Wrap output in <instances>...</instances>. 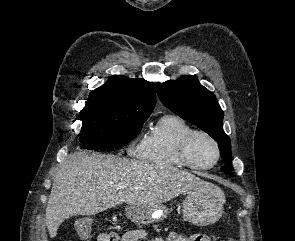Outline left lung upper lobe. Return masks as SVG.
<instances>
[{
	"label": "left lung upper lobe",
	"instance_id": "1",
	"mask_svg": "<svg viewBox=\"0 0 295 241\" xmlns=\"http://www.w3.org/2000/svg\"><path fill=\"white\" fill-rule=\"evenodd\" d=\"M161 102L181 118L195 124L218 142L226 167L232 169L230 138L222 126L223 111L215 95L203 87L195 76H182L177 80L157 83Z\"/></svg>",
	"mask_w": 295,
	"mask_h": 241
}]
</instances>
